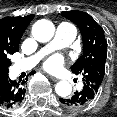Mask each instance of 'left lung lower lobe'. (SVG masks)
<instances>
[{
	"mask_svg": "<svg viewBox=\"0 0 117 117\" xmlns=\"http://www.w3.org/2000/svg\"><path fill=\"white\" fill-rule=\"evenodd\" d=\"M96 90L84 82L83 89L75 92L71 97L60 98L63 106L71 109L81 108L89 105L96 97Z\"/></svg>",
	"mask_w": 117,
	"mask_h": 117,
	"instance_id": "obj_1",
	"label": "left lung lower lobe"
}]
</instances>
